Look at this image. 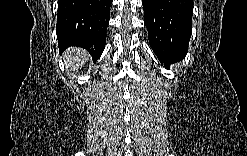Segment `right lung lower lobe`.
<instances>
[{"mask_svg":"<svg viewBox=\"0 0 247 156\" xmlns=\"http://www.w3.org/2000/svg\"><path fill=\"white\" fill-rule=\"evenodd\" d=\"M112 0H59L57 38L62 53L70 46L86 49L98 59L106 44Z\"/></svg>","mask_w":247,"mask_h":156,"instance_id":"right-lung-lower-lobe-1","label":"right lung lower lobe"}]
</instances>
